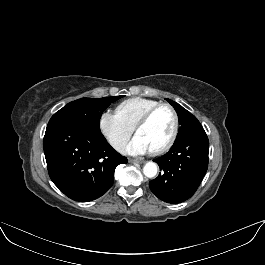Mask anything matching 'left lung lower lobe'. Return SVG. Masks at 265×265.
Masks as SVG:
<instances>
[{"mask_svg": "<svg viewBox=\"0 0 265 265\" xmlns=\"http://www.w3.org/2000/svg\"><path fill=\"white\" fill-rule=\"evenodd\" d=\"M209 140L204 130L174 142L154 159L160 173L149 182L151 191L167 203H181L197 190L208 168Z\"/></svg>", "mask_w": 265, "mask_h": 265, "instance_id": "0a47b994", "label": "left lung lower lobe"}]
</instances>
